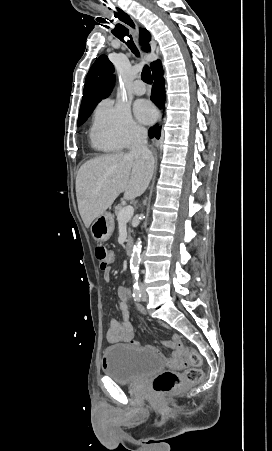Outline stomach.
<instances>
[{"label":"stomach","instance_id":"obj_1","mask_svg":"<svg viewBox=\"0 0 272 451\" xmlns=\"http://www.w3.org/2000/svg\"><path fill=\"white\" fill-rule=\"evenodd\" d=\"M91 229V235L96 241H107L111 237L114 229V218L110 212H103L94 220Z\"/></svg>","mask_w":272,"mask_h":451}]
</instances>
